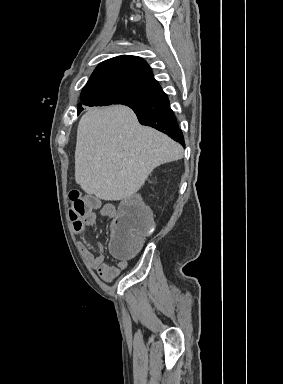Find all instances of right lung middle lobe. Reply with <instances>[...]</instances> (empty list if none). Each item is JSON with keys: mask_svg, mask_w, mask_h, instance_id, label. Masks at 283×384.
<instances>
[{"mask_svg": "<svg viewBox=\"0 0 283 384\" xmlns=\"http://www.w3.org/2000/svg\"><path fill=\"white\" fill-rule=\"evenodd\" d=\"M158 92L147 91L124 85L105 84L85 87L81 92V101L78 104V114L83 110L82 105L106 106L123 104L129 107H139L152 103Z\"/></svg>", "mask_w": 283, "mask_h": 384, "instance_id": "dd1d6c3e", "label": "right lung middle lobe"}]
</instances>
